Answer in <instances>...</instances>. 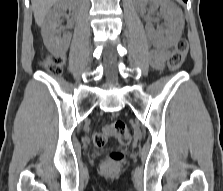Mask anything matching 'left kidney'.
Returning <instances> with one entry per match:
<instances>
[{
    "instance_id": "obj_1",
    "label": "left kidney",
    "mask_w": 223,
    "mask_h": 191,
    "mask_svg": "<svg viewBox=\"0 0 223 191\" xmlns=\"http://www.w3.org/2000/svg\"><path fill=\"white\" fill-rule=\"evenodd\" d=\"M140 12H145L147 6L160 8L162 17L166 23L156 30L148 24L146 29L148 36L154 45L170 47L180 37L184 21L181 11L170 0H136Z\"/></svg>"
}]
</instances>
